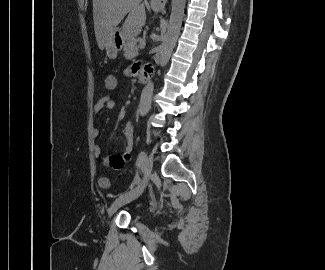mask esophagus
<instances>
[{"mask_svg":"<svg viewBox=\"0 0 325 270\" xmlns=\"http://www.w3.org/2000/svg\"><path fill=\"white\" fill-rule=\"evenodd\" d=\"M168 0H151V7L155 10H163Z\"/></svg>","mask_w":325,"mask_h":270,"instance_id":"esophagus-1","label":"esophagus"}]
</instances>
